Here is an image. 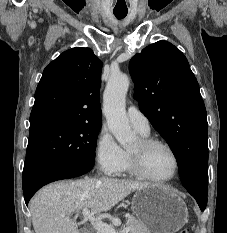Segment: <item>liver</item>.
Masks as SVG:
<instances>
[{
  "label": "liver",
  "instance_id": "6515ba94",
  "mask_svg": "<svg viewBox=\"0 0 227 233\" xmlns=\"http://www.w3.org/2000/svg\"><path fill=\"white\" fill-rule=\"evenodd\" d=\"M152 186L147 182L113 178H84L42 188L30 202L35 233H79L73 212H107L130 193Z\"/></svg>",
  "mask_w": 227,
  "mask_h": 233
}]
</instances>
